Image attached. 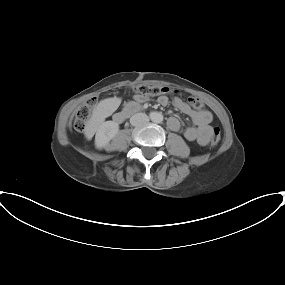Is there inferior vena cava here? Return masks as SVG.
<instances>
[{"label": "inferior vena cava", "instance_id": "obj_1", "mask_svg": "<svg viewBox=\"0 0 285 285\" xmlns=\"http://www.w3.org/2000/svg\"><path fill=\"white\" fill-rule=\"evenodd\" d=\"M149 122V117L144 113H136L130 118V123L133 126H140Z\"/></svg>", "mask_w": 285, "mask_h": 285}]
</instances>
